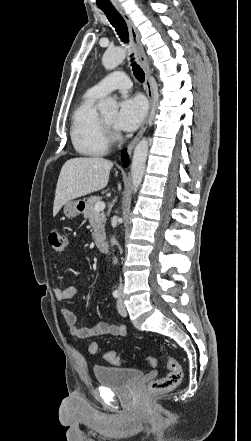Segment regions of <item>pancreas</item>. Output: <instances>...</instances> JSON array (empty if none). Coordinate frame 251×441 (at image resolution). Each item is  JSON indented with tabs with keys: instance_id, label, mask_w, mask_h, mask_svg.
<instances>
[{
	"instance_id": "cf45deb5",
	"label": "pancreas",
	"mask_w": 251,
	"mask_h": 441,
	"mask_svg": "<svg viewBox=\"0 0 251 441\" xmlns=\"http://www.w3.org/2000/svg\"><path fill=\"white\" fill-rule=\"evenodd\" d=\"M100 196H90L87 199L86 207L84 210V217L89 219L90 225L93 228L92 237L98 242L105 237L104 227L106 222V216L103 212L99 213L95 211V204L100 202Z\"/></svg>"
}]
</instances>
